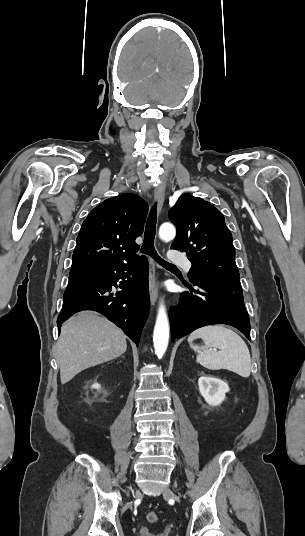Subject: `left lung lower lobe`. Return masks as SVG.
Here are the masks:
<instances>
[{
  "label": "left lung lower lobe",
  "mask_w": 305,
  "mask_h": 536,
  "mask_svg": "<svg viewBox=\"0 0 305 536\" xmlns=\"http://www.w3.org/2000/svg\"><path fill=\"white\" fill-rule=\"evenodd\" d=\"M200 290L183 293L180 306L171 309L169 318L172 339L181 338L195 329L211 324H227L239 329L249 340L250 320L244 305L239 281L190 279Z\"/></svg>",
  "instance_id": "left-lung-lower-lobe-1"
}]
</instances>
